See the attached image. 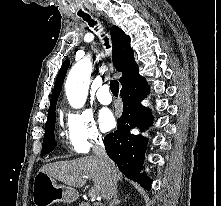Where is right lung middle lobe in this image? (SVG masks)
Wrapping results in <instances>:
<instances>
[{"instance_id": "obj_1", "label": "right lung middle lobe", "mask_w": 221, "mask_h": 206, "mask_svg": "<svg viewBox=\"0 0 221 206\" xmlns=\"http://www.w3.org/2000/svg\"><path fill=\"white\" fill-rule=\"evenodd\" d=\"M55 109L56 108H54L48 114L41 156L45 155L46 153L51 152L56 146V142L54 141V128H55V121H56Z\"/></svg>"}]
</instances>
